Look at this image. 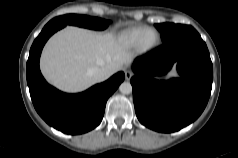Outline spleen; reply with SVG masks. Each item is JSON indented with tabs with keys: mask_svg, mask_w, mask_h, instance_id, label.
I'll list each match as a JSON object with an SVG mask.
<instances>
[{
	"mask_svg": "<svg viewBox=\"0 0 238 158\" xmlns=\"http://www.w3.org/2000/svg\"><path fill=\"white\" fill-rule=\"evenodd\" d=\"M176 76H177V74L175 73L174 70H172V71L166 76V79H169V78H171V77H176Z\"/></svg>",
	"mask_w": 238,
	"mask_h": 158,
	"instance_id": "1",
	"label": "spleen"
}]
</instances>
